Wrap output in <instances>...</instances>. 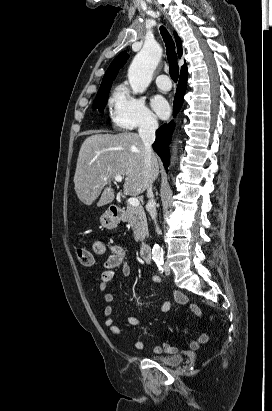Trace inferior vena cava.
Here are the masks:
<instances>
[{
    "instance_id": "602c4592",
    "label": "inferior vena cava",
    "mask_w": 272,
    "mask_h": 411,
    "mask_svg": "<svg viewBox=\"0 0 272 411\" xmlns=\"http://www.w3.org/2000/svg\"><path fill=\"white\" fill-rule=\"evenodd\" d=\"M158 128V122L155 118L153 117H146L144 118L140 125H139V136L143 142L144 146V151H145V167L147 172L152 171V157H153V152H152V144L155 141V131ZM152 183L153 180L149 181L148 187H147V197L149 198L148 203L146 205V209L148 213L150 214L151 218L154 220V223L156 225V232L158 234H161V230L159 229L156 221L157 217V211H156V206H155V200H154V195L152 191Z\"/></svg>"
}]
</instances>
